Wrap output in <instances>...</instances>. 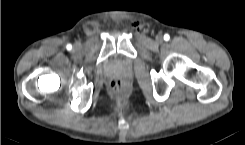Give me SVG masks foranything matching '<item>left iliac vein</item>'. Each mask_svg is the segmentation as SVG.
Segmentation results:
<instances>
[{
  "label": "left iliac vein",
  "mask_w": 245,
  "mask_h": 145,
  "mask_svg": "<svg viewBox=\"0 0 245 145\" xmlns=\"http://www.w3.org/2000/svg\"><path fill=\"white\" fill-rule=\"evenodd\" d=\"M156 39H157L158 42H161L163 40V37L161 35H159V36H157Z\"/></svg>",
  "instance_id": "1"
}]
</instances>
